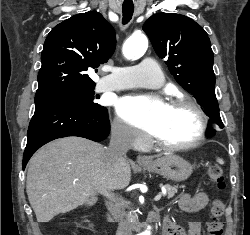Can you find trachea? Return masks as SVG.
Returning <instances> with one entry per match:
<instances>
[{
  "label": "trachea",
  "mask_w": 250,
  "mask_h": 235,
  "mask_svg": "<svg viewBox=\"0 0 250 235\" xmlns=\"http://www.w3.org/2000/svg\"><path fill=\"white\" fill-rule=\"evenodd\" d=\"M123 18L122 23L126 25L131 19L134 12V6H122Z\"/></svg>",
  "instance_id": "1"
}]
</instances>
